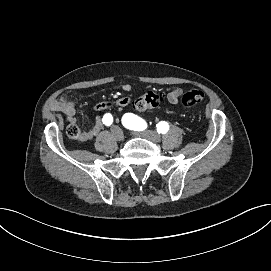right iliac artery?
I'll return each mask as SVG.
<instances>
[{"mask_svg": "<svg viewBox=\"0 0 271 271\" xmlns=\"http://www.w3.org/2000/svg\"><path fill=\"white\" fill-rule=\"evenodd\" d=\"M102 121L106 126H110L112 124V122H113V117H112V115L110 113H106L103 116Z\"/></svg>", "mask_w": 271, "mask_h": 271, "instance_id": "right-iliac-artery-1", "label": "right iliac artery"}]
</instances>
